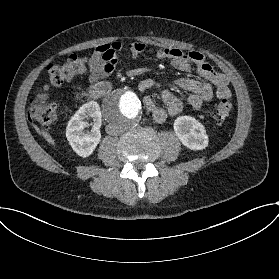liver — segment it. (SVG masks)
Masks as SVG:
<instances>
[{
	"label": "liver",
	"instance_id": "liver-1",
	"mask_svg": "<svg viewBox=\"0 0 279 279\" xmlns=\"http://www.w3.org/2000/svg\"><path fill=\"white\" fill-rule=\"evenodd\" d=\"M42 136L45 138V140H46L49 144L55 145V141H54V139L52 138V136H51L49 133L43 131V132H42Z\"/></svg>",
	"mask_w": 279,
	"mask_h": 279
}]
</instances>
